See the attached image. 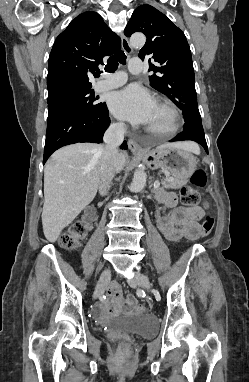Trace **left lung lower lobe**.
I'll use <instances>...</instances> for the list:
<instances>
[{
  "label": "left lung lower lobe",
  "instance_id": "obj_1",
  "mask_svg": "<svg viewBox=\"0 0 249 382\" xmlns=\"http://www.w3.org/2000/svg\"><path fill=\"white\" fill-rule=\"evenodd\" d=\"M191 140L199 143L203 146L208 153V147L205 140L204 130L202 123H185L184 130L181 134H178L171 142Z\"/></svg>",
  "mask_w": 249,
  "mask_h": 382
}]
</instances>
